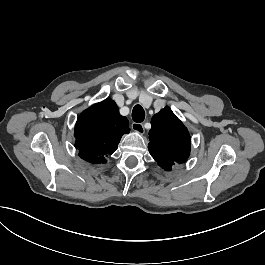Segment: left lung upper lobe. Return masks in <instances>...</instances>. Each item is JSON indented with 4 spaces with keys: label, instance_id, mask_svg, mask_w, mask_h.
Segmentation results:
<instances>
[{
    "label": "left lung upper lobe",
    "instance_id": "obj_1",
    "mask_svg": "<svg viewBox=\"0 0 265 265\" xmlns=\"http://www.w3.org/2000/svg\"><path fill=\"white\" fill-rule=\"evenodd\" d=\"M148 149L158 165L167 170L186 162L190 154V135L169 107L153 116Z\"/></svg>",
    "mask_w": 265,
    "mask_h": 265
}]
</instances>
